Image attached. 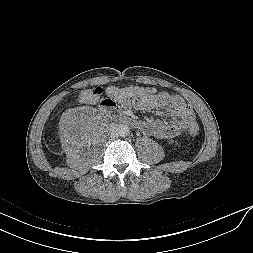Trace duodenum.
I'll use <instances>...</instances> for the list:
<instances>
[{
  "mask_svg": "<svg viewBox=\"0 0 253 253\" xmlns=\"http://www.w3.org/2000/svg\"><path fill=\"white\" fill-rule=\"evenodd\" d=\"M108 113L111 118L118 123L131 125L133 127H140V123L128 115L118 113L115 110H109Z\"/></svg>",
  "mask_w": 253,
  "mask_h": 253,
  "instance_id": "duodenum-1",
  "label": "duodenum"
}]
</instances>
